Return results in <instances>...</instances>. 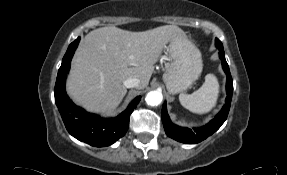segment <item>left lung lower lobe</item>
I'll list each match as a JSON object with an SVG mask.
<instances>
[{
    "mask_svg": "<svg viewBox=\"0 0 287 175\" xmlns=\"http://www.w3.org/2000/svg\"><path fill=\"white\" fill-rule=\"evenodd\" d=\"M219 57L222 60V67L227 75V83H226V91L227 98L225 105L221 109V111L216 115L214 119H212L208 124L201 128H195L193 130L189 128H182L170 121V118L167 114L166 103H164L162 108V123L165 129L166 134L179 141L186 144H194L199 143L205 140L207 137L216 132L221 125L225 122L228 112L230 109V103L233 93V80L229 71V66L225 60L223 47L219 48Z\"/></svg>",
    "mask_w": 287,
    "mask_h": 175,
    "instance_id": "0a47b994",
    "label": "left lung lower lobe"
}]
</instances>
